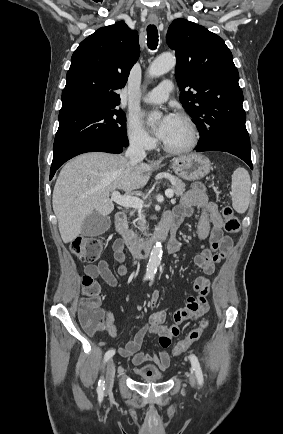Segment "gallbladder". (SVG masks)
Segmentation results:
<instances>
[{"instance_id":"bac80fb5","label":"gallbladder","mask_w":283,"mask_h":434,"mask_svg":"<svg viewBox=\"0 0 283 434\" xmlns=\"http://www.w3.org/2000/svg\"><path fill=\"white\" fill-rule=\"evenodd\" d=\"M110 225V217L93 212L84 220L81 234L88 237L99 236L105 233L110 228Z\"/></svg>"}]
</instances>
